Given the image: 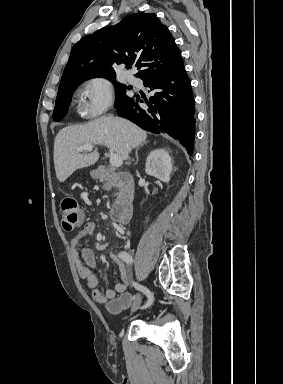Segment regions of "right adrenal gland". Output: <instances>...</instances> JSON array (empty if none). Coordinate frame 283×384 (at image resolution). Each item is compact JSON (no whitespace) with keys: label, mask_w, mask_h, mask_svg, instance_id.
Listing matches in <instances>:
<instances>
[{"label":"right adrenal gland","mask_w":283,"mask_h":384,"mask_svg":"<svg viewBox=\"0 0 283 384\" xmlns=\"http://www.w3.org/2000/svg\"><path fill=\"white\" fill-rule=\"evenodd\" d=\"M144 144H148V142H143V144H141V146H144ZM138 150H139V148H136V150H135V156H136L135 164H138Z\"/></svg>","instance_id":"obj_1"}]
</instances>
